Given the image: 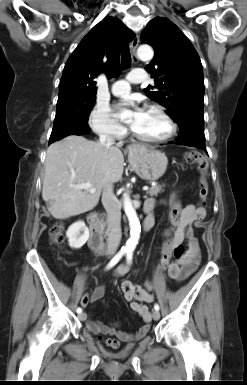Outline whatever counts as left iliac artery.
<instances>
[{
	"instance_id": "1",
	"label": "left iliac artery",
	"mask_w": 247,
	"mask_h": 385,
	"mask_svg": "<svg viewBox=\"0 0 247 385\" xmlns=\"http://www.w3.org/2000/svg\"><path fill=\"white\" fill-rule=\"evenodd\" d=\"M132 256H133V252H132V251H127V253H126V259H127V262H128V263H131V261H132ZM154 309L159 311V305H158V304H155V305H154Z\"/></svg>"
}]
</instances>
